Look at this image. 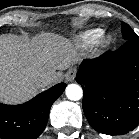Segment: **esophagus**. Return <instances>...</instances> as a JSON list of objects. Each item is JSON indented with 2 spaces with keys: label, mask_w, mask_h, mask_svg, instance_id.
<instances>
[{
  "label": "esophagus",
  "mask_w": 139,
  "mask_h": 139,
  "mask_svg": "<svg viewBox=\"0 0 139 139\" xmlns=\"http://www.w3.org/2000/svg\"><path fill=\"white\" fill-rule=\"evenodd\" d=\"M77 70L75 68H70L66 73V81L72 82L76 77Z\"/></svg>",
  "instance_id": "34e87169"
}]
</instances>
